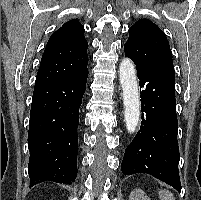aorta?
Here are the masks:
<instances>
[{
    "mask_svg": "<svg viewBox=\"0 0 201 200\" xmlns=\"http://www.w3.org/2000/svg\"><path fill=\"white\" fill-rule=\"evenodd\" d=\"M119 77L123 91L126 128L129 133H134L140 119V100L136 69L134 63L130 59L124 58L121 61Z\"/></svg>",
    "mask_w": 201,
    "mask_h": 200,
    "instance_id": "aorta-1",
    "label": "aorta"
}]
</instances>
